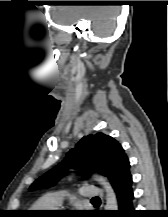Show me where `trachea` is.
I'll list each match as a JSON object with an SVG mask.
<instances>
[{
	"label": "trachea",
	"mask_w": 168,
	"mask_h": 217,
	"mask_svg": "<svg viewBox=\"0 0 168 217\" xmlns=\"http://www.w3.org/2000/svg\"><path fill=\"white\" fill-rule=\"evenodd\" d=\"M94 199H95V200H99V198H98V197H96V198H94ZM94 199H93V200H94Z\"/></svg>",
	"instance_id": "trachea-1"
}]
</instances>
